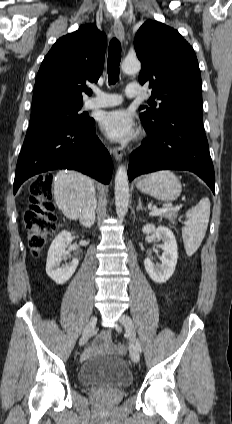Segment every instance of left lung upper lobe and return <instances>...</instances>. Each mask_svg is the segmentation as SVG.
Masks as SVG:
<instances>
[{
  "instance_id": "5c2ea615",
  "label": "left lung upper lobe",
  "mask_w": 232,
  "mask_h": 424,
  "mask_svg": "<svg viewBox=\"0 0 232 424\" xmlns=\"http://www.w3.org/2000/svg\"><path fill=\"white\" fill-rule=\"evenodd\" d=\"M134 47L142 63L141 84L149 82L159 108L140 114L152 126L180 109L202 110L201 75L193 48L175 29L157 21H146L136 33Z\"/></svg>"
}]
</instances>
